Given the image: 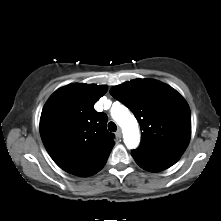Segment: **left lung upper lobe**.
I'll use <instances>...</instances> for the list:
<instances>
[{
	"label": "left lung upper lobe",
	"mask_w": 221,
	"mask_h": 221,
	"mask_svg": "<svg viewBox=\"0 0 221 221\" xmlns=\"http://www.w3.org/2000/svg\"><path fill=\"white\" fill-rule=\"evenodd\" d=\"M111 95L137 118L141 145L132 153L148 158H180L191 136L187 102L172 87L150 79H135L114 86Z\"/></svg>",
	"instance_id": "1"
}]
</instances>
